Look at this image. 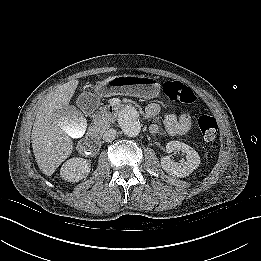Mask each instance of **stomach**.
<instances>
[{"label":"stomach","mask_w":261,"mask_h":261,"mask_svg":"<svg viewBox=\"0 0 261 261\" xmlns=\"http://www.w3.org/2000/svg\"><path fill=\"white\" fill-rule=\"evenodd\" d=\"M159 93L160 84L153 78L121 75L98 82L95 86V94L90 97V101H93V98L111 97L115 95H129L150 99L157 97Z\"/></svg>","instance_id":"stomach-1"}]
</instances>
